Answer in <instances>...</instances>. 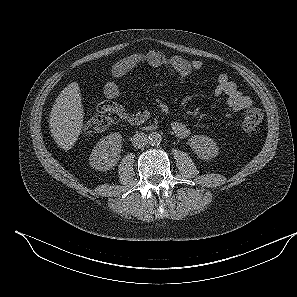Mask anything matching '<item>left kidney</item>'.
Listing matches in <instances>:
<instances>
[{
  "mask_svg": "<svg viewBox=\"0 0 297 297\" xmlns=\"http://www.w3.org/2000/svg\"><path fill=\"white\" fill-rule=\"evenodd\" d=\"M188 143L200 159L210 160L219 154V147L215 141L205 135L193 136Z\"/></svg>",
  "mask_w": 297,
  "mask_h": 297,
  "instance_id": "obj_1",
  "label": "left kidney"
}]
</instances>
